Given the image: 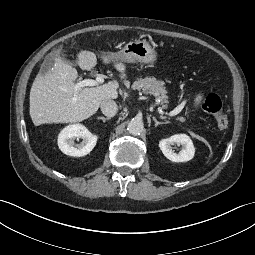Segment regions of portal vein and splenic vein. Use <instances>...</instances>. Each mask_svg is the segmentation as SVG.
<instances>
[{
    "mask_svg": "<svg viewBox=\"0 0 255 255\" xmlns=\"http://www.w3.org/2000/svg\"><path fill=\"white\" fill-rule=\"evenodd\" d=\"M103 82H104V78L101 75H98L95 80L84 79V80L80 81L76 85V88H83L84 86H96V85L101 84ZM174 115H176V113L174 111L168 113V116H174Z\"/></svg>",
    "mask_w": 255,
    "mask_h": 255,
    "instance_id": "18ae733b",
    "label": "portal vein and splenic vein"
}]
</instances>
